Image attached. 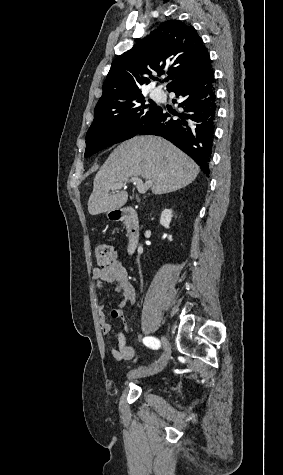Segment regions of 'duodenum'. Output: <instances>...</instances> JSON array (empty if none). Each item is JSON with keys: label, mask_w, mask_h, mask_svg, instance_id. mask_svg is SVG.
I'll return each mask as SVG.
<instances>
[{"label": "duodenum", "mask_w": 283, "mask_h": 475, "mask_svg": "<svg viewBox=\"0 0 283 475\" xmlns=\"http://www.w3.org/2000/svg\"><path fill=\"white\" fill-rule=\"evenodd\" d=\"M112 219L123 222L127 228V253L133 254L140 242V224L137 211L132 207H125L113 213Z\"/></svg>", "instance_id": "duodenum-1"}]
</instances>
